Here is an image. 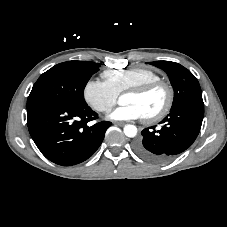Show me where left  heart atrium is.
Returning <instances> with one entry per match:
<instances>
[{
	"label": "left heart atrium",
	"instance_id": "left-heart-atrium-1",
	"mask_svg": "<svg viewBox=\"0 0 227 227\" xmlns=\"http://www.w3.org/2000/svg\"><path fill=\"white\" fill-rule=\"evenodd\" d=\"M143 117L141 110L133 104H122L109 114L110 119L117 121L136 120Z\"/></svg>",
	"mask_w": 227,
	"mask_h": 227
}]
</instances>
